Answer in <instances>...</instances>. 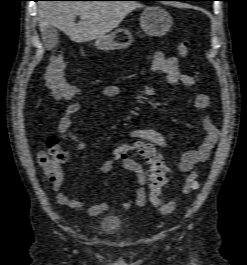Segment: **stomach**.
<instances>
[{"instance_id": "0dacf381", "label": "stomach", "mask_w": 247, "mask_h": 265, "mask_svg": "<svg viewBox=\"0 0 247 265\" xmlns=\"http://www.w3.org/2000/svg\"><path fill=\"white\" fill-rule=\"evenodd\" d=\"M171 15L160 6H149L140 16V26L149 36L161 37L171 28ZM134 38L127 29H117L114 32L96 39L95 47L101 51L121 50L132 45Z\"/></svg>"}]
</instances>
